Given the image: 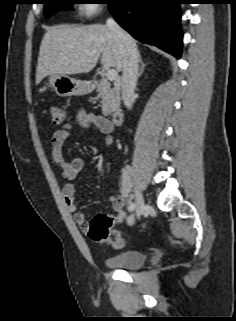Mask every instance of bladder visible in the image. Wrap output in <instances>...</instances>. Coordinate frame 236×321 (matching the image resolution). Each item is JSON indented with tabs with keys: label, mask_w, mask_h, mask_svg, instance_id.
<instances>
[{
	"label": "bladder",
	"mask_w": 236,
	"mask_h": 321,
	"mask_svg": "<svg viewBox=\"0 0 236 321\" xmlns=\"http://www.w3.org/2000/svg\"><path fill=\"white\" fill-rule=\"evenodd\" d=\"M146 261V254L140 250H129L114 256L107 257L106 265L116 269L135 270L141 268Z\"/></svg>",
	"instance_id": "obj_1"
}]
</instances>
